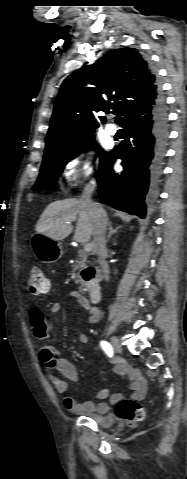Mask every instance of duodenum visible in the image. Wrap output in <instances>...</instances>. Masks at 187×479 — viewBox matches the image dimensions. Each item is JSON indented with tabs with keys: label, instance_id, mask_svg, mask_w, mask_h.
<instances>
[{
	"label": "duodenum",
	"instance_id": "obj_1",
	"mask_svg": "<svg viewBox=\"0 0 187 479\" xmlns=\"http://www.w3.org/2000/svg\"><path fill=\"white\" fill-rule=\"evenodd\" d=\"M87 274L85 280L89 283L88 296L92 303H97L101 298V287L96 282V271L93 265H89L86 269Z\"/></svg>",
	"mask_w": 187,
	"mask_h": 479
}]
</instances>
